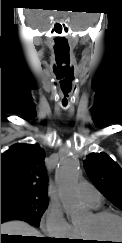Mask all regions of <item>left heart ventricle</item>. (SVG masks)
I'll return each instance as SVG.
<instances>
[{
	"mask_svg": "<svg viewBox=\"0 0 122 243\" xmlns=\"http://www.w3.org/2000/svg\"><path fill=\"white\" fill-rule=\"evenodd\" d=\"M78 227L94 238L106 239V241H99L101 243H112L108 240L122 238V221L115 217L96 221L91 214Z\"/></svg>",
	"mask_w": 122,
	"mask_h": 243,
	"instance_id": "obj_1",
	"label": "left heart ventricle"
}]
</instances>
